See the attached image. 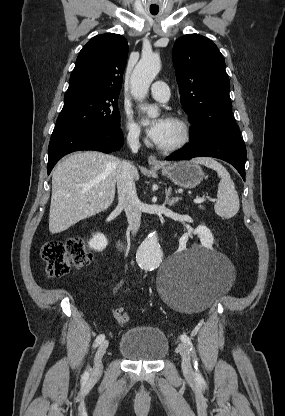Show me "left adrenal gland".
<instances>
[{
    "mask_svg": "<svg viewBox=\"0 0 285 416\" xmlns=\"http://www.w3.org/2000/svg\"><path fill=\"white\" fill-rule=\"evenodd\" d=\"M172 192V188H168V190H166L165 192V202L166 204H168V206H174V204H177V202H179V200H182V198H169L170 194Z\"/></svg>",
    "mask_w": 285,
    "mask_h": 416,
    "instance_id": "a2214340",
    "label": "left adrenal gland"
}]
</instances>
